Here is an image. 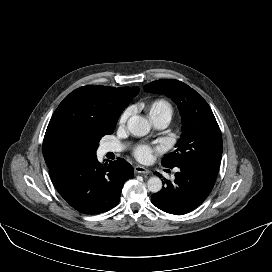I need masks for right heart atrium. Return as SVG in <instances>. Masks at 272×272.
Returning a JSON list of instances; mask_svg holds the SVG:
<instances>
[{"label":"right heart atrium","instance_id":"obj_1","mask_svg":"<svg viewBox=\"0 0 272 272\" xmlns=\"http://www.w3.org/2000/svg\"><path fill=\"white\" fill-rule=\"evenodd\" d=\"M130 114H131V110L127 109L120 115L119 120H118V123L120 126H124L126 124Z\"/></svg>","mask_w":272,"mask_h":272}]
</instances>
